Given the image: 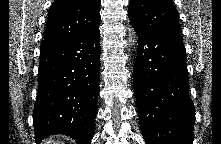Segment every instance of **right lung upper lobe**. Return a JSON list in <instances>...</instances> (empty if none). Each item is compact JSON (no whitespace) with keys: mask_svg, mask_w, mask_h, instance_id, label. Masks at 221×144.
Masks as SVG:
<instances>
[{"mask_svg":"<svg viewBox=\"0 0 221 144\" xmlns=\"http://www.w3.org/2000/svg\"><path fill=\"white\" fill-rule=\"evenodd\" d=\"M100 0H55L40 52L72 41L99 26Z\"/></svg>","mask_w":221,"mask_h":144,"instance_id":"obj_1","label":"right lung upper lobe"}]
</instances>
